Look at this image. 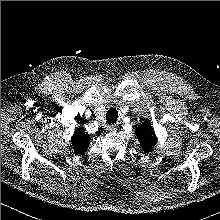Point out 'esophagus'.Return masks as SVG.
I'll use <instances>...</instances> for the list:
<instances>
[{
	"label": "esophagus",
	"mask_w": 220,
	"mask_h": 220,
	"mask_svg": "<svg viewBox=\"0 0 220 220\" xmlns=\"http://www.w3.org/2000/svg\"><path fill=\"white\" fill-rule=\"evenodd\" d=\"M105 129L108 131V132H115L117 130V127L115 125H112V124H109V125H106L105 126Z\"/></svg>",
	"instance_id": "1"
}]
</instances>
